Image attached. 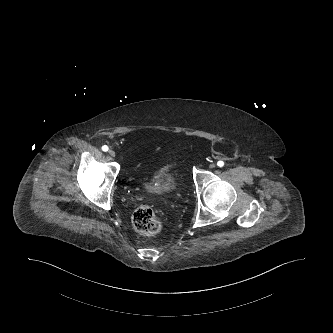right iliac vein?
I'll list each match as a JSON object with an SVG mask.
<instances>
[{
	"label": "right iliac vein",
	"instance_id": "1",
	"mask_svg": "<svg viewBox=\"0 0 333 333\" xmlns=\"http://www.w3.org/2000/svg\"><path fill=\"white\" fill-rule=\"evenodd\" d=\"M108 153H109V155L112 156V157H115V155H116L115 152H114L113 150H109Z\"/></svg>",
	"mask_w": 333,
	"mask_h": 333
}]
</instances>
